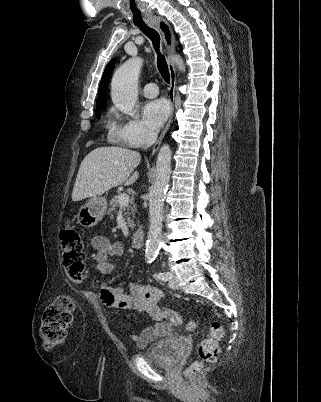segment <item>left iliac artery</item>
Here are the masks:
<instances>
[{
  "label": "left iliac artery",
  "instance_id": "left-iliac-artery-1",
  "mask_svg": "<svg viewBox=\"0 0 321 402\" xmlns=\"http://www.w3.org/2000/svg\"><path fill=\"white\" fill-rule=\"evenodd\" d=\"M154 278L161 281H168L171 279L169 272L154 274Z\"/></svg>",
  "mask_w": 321,
  "mask_h": 402
}]
</instances>
